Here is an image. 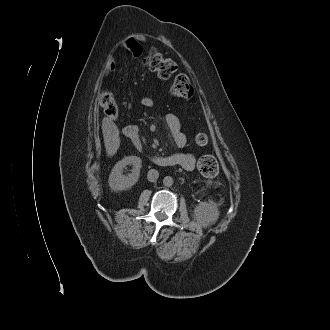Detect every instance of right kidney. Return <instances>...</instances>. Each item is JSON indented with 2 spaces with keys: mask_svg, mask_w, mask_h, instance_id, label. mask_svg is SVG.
Wrapping results in <instances>:
<instances>
[{
  "mask_svg": "<svg viewBox=\"0 0 330 330\" xmlns=\"http://www.w3.org/2000/svg\"><path fill=\"white\" fill-rule=\"evenodd\" d=\"M127 165H132V170L128 175H124L123 170ZM141 165L142 160L137 156L124 157L122 160L118 161L109 175L108 183L110 188L113 191L130 189L139 179Z\"/></svg>",
  "mask_w": 330,
  "mask_h": 330,
  "instance_id": "1",
  "label": "right kidney"
}]
</instances>
